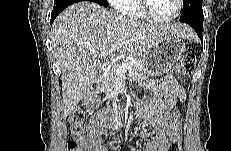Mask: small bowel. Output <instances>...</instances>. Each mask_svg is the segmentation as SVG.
I'll return each mask as SVG.
<instances>
[{
  "mask_svg": "<svg viewBox=\"0 0 231 151\" xmlns=\"http://www.w3.org/2000/svg\"><path fill=\"white\" fill-rule=\"evenodd\" d=\"M152 95L137 111V116L145 119L151 130H142V138L148 139L144 151H166L170 139V110L178 101H184L186 94L183 85L171 75L151 84ZM103 114H94L88 120L87 138L79 144L78 151H108L103 137ZM141 151V150H138Z\"/></svg>",
  "mask_w": 231,
  "mask_h": 151,
  "instance_id": "obj_1",
  "label": "small bowel"
}]
</instances>
